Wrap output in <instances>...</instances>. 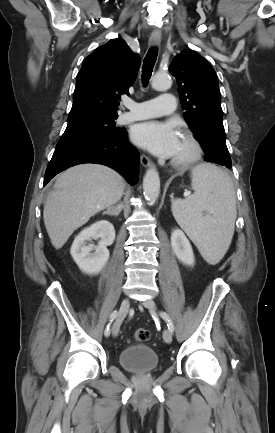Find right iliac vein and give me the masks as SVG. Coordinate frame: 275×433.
I'll return each instance as SVG.
<instances>
[{"instance_id": "obj_1", "label": "right iliac vein", "mask_w": 275, "mask_h": 433, "mask_svg": "<svg viewBox=\"0 0 275 433\" xmlns=\"http://www.w3.org/2000/svg\"><path fill=\"white\" fill-rule=\"evenodd\" d=\"M129 306H130L129 299H124L120 305L117 318L112 326V334L114 337H116L119 333L120 326L128 313Z\"/></svg>"}]
</instances>
